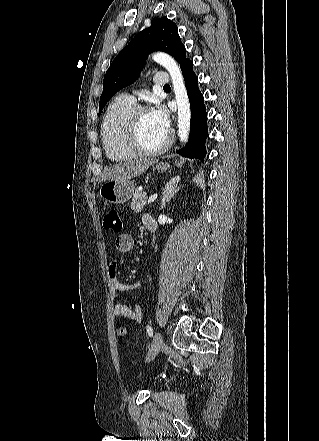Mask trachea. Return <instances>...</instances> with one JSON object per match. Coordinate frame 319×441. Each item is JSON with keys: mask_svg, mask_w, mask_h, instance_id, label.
<instances>
[{"mask_svg": "<svg viewBox=\"0 0 319 441\" xmlns=\"http://www.w3.org/2000/svg\"><path fill=\"white\" fill-rule=\"evenodd\" d=\"M164 89H167V88H170V85H165L164 87H163Z\"/></svg>", "mask_w": 319, "mask_h": 441, "instance_id": "3493384b", "label": "trachea"}]
</instances>
